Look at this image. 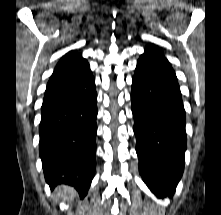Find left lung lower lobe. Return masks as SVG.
Listing matches in <instances>:
<instances>
[{
	"mask_svg": "<svg viewBox=\"0 0 221 215\" xmlns=\"http://www.w3.org/2000/svg\"><path fill=\"white\" fill-rule=\"evenodd\" d=\"M131 101L140 174L157 197H172L184 170L185 110L175 72L155 46L137 62Z\"/></svg>",
	"mask_w": 221,
	"mask_h": 215,
	"instance_id": "1",
	"label": "left lung lower lobe"
}]
</instances>
